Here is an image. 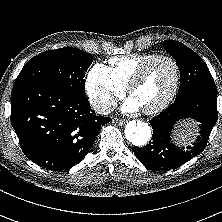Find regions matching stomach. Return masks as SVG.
<instances>
[{
    "label": "stomach",
    "mask_w": 222,
    "mask_h": 222,
    "mask_svg": "<svg viewBox=\"0 0 222 222\" xmlns=\"http://www.w3.org/2000/svg\"><path fill=\"white\" fill-rule=\"evenodd\" d=\"M193 136H195L194 128L191 126H184L177 133V140L181 144H189L192 141Z\"/></svg>",
    "instance_id": "obj_1"
}]
</instances>
